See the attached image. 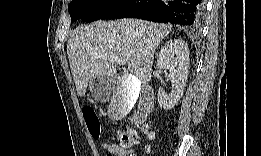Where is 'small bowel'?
I'll use <instances>...</instances> for the list:
<instances>
[{"label":"small bowel","instance_id":"1","mask_svg":"<svg viewBox=\"0 0 261 156\" xmlns=\"http://www.w3.org/2000/svg\"><path fill=\"white\" fill-rule=\"evenodd\" d=\"M102 147L107 150V156H128L133 154V149L125 148L115 141H106Z\"/></svg>","mask_w":261,"mask_h":156}]
</instances>
